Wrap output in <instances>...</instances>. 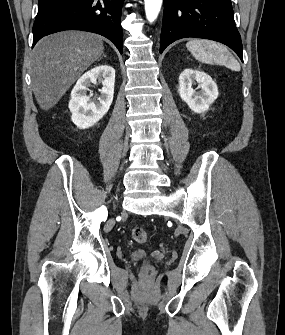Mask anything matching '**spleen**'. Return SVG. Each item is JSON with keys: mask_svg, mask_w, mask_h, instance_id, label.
<instances>
[{"mask_svg": "<svg viewBox=\"0 0 285 335\" xmlns=\"http://www.w3.org/2000/svg\"><path fill=\"white\" fill-rule=\"evenodd\" d=\"M186 48L199 62L220 64V66H227V68L238 70V72L240 70V64L221 44H216L211 40H190V42H187Z\"/></svg>", "mask_w": 285, "mask_h": 335, "instance_id": "obj_1", "label": "spleen"}]
</instances>
